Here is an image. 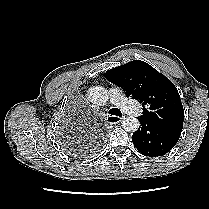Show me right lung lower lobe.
Segmentation results:
<instances>
[{
    "label": "right lung lower lobe",
    "instance_id": "right-lung-lower-lobe-1",
    "mask_svg": "<svg viewBox=\"0 0 209 209\" xmlns=\"http://www.w3.org/2000/svg\"><path fill=\"white\" fill-rule=\"evenodd\" d=\"M94 138L96 140L95 142H96L97 146L101 145V143L103 142V136L101 134L97 133ZM81 147L78 148L79 152H83L84 151L86 153H91V152L94 151L93 149H95L93 147H85V148H81Z\"/></svg>",
    "mask_w": 209,
    "mask_h": 209
}]
</instances>
